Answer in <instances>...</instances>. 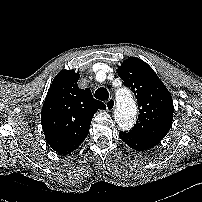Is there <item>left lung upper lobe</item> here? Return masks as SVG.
I'll use <instances>...</instances> for the list:
<instances>
[{"instance_id":"obj_1","label":"left lung upper lobe","mask_w":202,"mask_h":202,"mask_svg":"<svg viewBox=\"0 0 202 202\" xmlns=\"http://www.w3.org/2000/svg\"><path fill=\"white\" fill-rule=\"evenodd\" d=\"M117 72L124 85L136 94L138 102V119L130 132L162 140L172 125L171 94L154 70L139 58H128Z\"/></svg>"}]
</instances>
